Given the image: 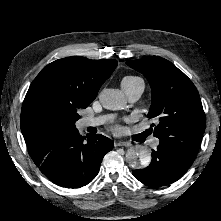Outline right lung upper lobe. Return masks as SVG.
<instances>
[{"instance_id":"cb5924a9","label":"right lung upper lobe","mask_w":221,"mask_h":221,"mask_svg":"<svg viewBox=\"0 0 221 221\" xmlns=\"http://www.w3.org/2000/svg\"><path fill=\"white\" fill-rule=\"evenodd\" d=\"M114 59L72 56L48 64L25 96L20 126L26 144L65 133L58 111L66 106L86 108L117 66Z\"/></svg>"}]
</instances>
